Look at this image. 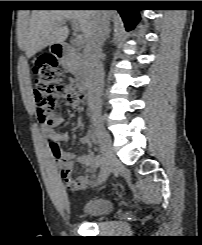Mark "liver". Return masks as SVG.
Wrapping results in <instances>:
<instances>
[{"label": "liver", "instance_id": "obj_1", "mask_svg": "<svg viewBox=\"0 0 202 245\" xmlns=\"http://www.w3.org/2000/svg\"><path fill=\"white\" fill-rule=\"evenodd\" d=\"M98 13L93 10H34L23 40L27 57L34 56L48 45L63 43L69 35L65 26L67 20L78 22L86 42ZM104 13L109 20L114 15V12Z\"/></svg>", "mask_w": 202, "mask_h": 245}]
</instances>
